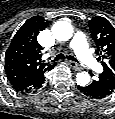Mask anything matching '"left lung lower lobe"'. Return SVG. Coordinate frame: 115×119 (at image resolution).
I'll list each match as a JSON object with an SVG mask.
<instances>
[{"label": "left lung lower lobe", "mask_w": 115, "mask_h": 119, "mask_svg": "<svg viewBox=\"0 0 115 119\" xmlns=\"http://www.w3.org/2000/svg\"><path fill=\"white\" fill-rule=\"evenodd\" d=\"M80 92L91 99H103L115 92V80L102 73L90 85L78 87Z\"/></svg>", "instance_id": "left-lung-lower-lobe-1"}]
</instances>
